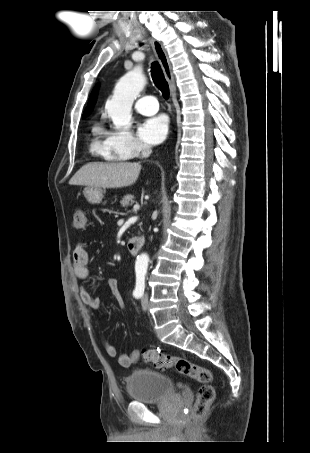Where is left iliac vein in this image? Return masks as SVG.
<instances>
[{"label": "left iliac vein", "instance_id": "4c4485c4", "mask_svg": "<svg viewBox=\"0 0 310 453\" xmlns=\"http://www.w3.org/2000/svg\"><path fill=\"white\" fill-rule=\"evenodd\" d=\"M148 300H149L148 294L144 293L142 298H141V306H142L143 310H147L148 309Z\"/></svg>", "mask_w": 310, "mask_h": 453}]
</instances>
